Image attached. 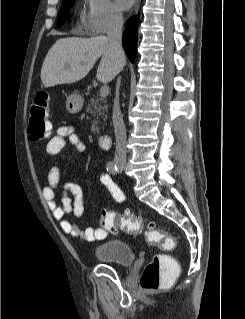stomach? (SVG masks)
<instances>
[{"label":"stomach","instance_id":"stomach-1","mask_svg":"<svg viewBox=\"0 0 245 319\" xmlns=\"http://www.w3.org/2000/svg\"><path fill=\"white\" fill-rule=\"evenodd\" d=\"M82 107L83 98L77 91L69 95L66 101V109L69 113H78L79 111H81Z\"/></svg>","mask_w":245,"mask_h":319}]
</instances>
